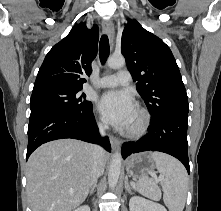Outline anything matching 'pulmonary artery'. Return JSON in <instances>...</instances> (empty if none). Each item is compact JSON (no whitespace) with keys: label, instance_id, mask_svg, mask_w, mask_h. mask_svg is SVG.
Returning a JSON list of instances; mask_svg holds the SVG:
<instances>
[{"label":"pulmonary artery","instance_id":"1","mask_svg":"<svg viewBox=\"0 0 221 211\" xmlns=\"http://www.w3.org/2000/svg\"><path fill=\"white\" fill-rule=\"evenodd\" d=\"M131 83V74L129 71L122 70L115 75H108L100 78L96 86L101 88L116 87L119 85L126 86Z\"/></svg>","mask_w":221,"mask_h":211}]
</instances>
